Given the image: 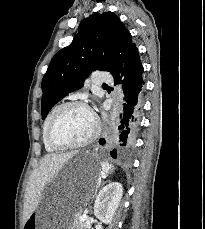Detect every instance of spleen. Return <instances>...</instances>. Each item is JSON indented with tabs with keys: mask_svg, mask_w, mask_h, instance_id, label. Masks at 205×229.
<instances>
[{
	"mask_svg": "<svg viewBox=\"0 0 205 229\" xmlns=\"http://www.w3.org/2000/svg\"><path fill=\"white\" fill-rule=\"evenodd\" d=\"M114 166L109 164L108 162H102V170L106 173V174H110L113 172L114 170Z\"/></svg>",
	"mask_w": 205,
	"mask_h": 229,
	"instance_id": "spleen-1",
	"label": "spleen"
}]
</instances>
